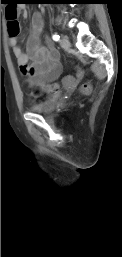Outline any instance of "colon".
Returning a JSON list of instances; mask_svg holds the SVG:
<instances>
[{"label": "colon", "mask_w": 122, "mask_h": 257, "mask_svg": "<svg viewBox=\"0 0 122 257\" xmlns=\"http://www.w3.org/2000/svg\"><path fill=\"white\" fill-rule=\"evenodd\" d=\"M4 10L6 11V16L8 20V32L10 36H17L20 31L19 22L17 20V11L18 5H4ZM77 79H84V71L76 70ZM44 89H48V92L55 91L57 89V85H44ZM83 93H89L91 90L90 84H84L82 86ZM30 94H37L38 98L42 97L43 90L40 86H36L35 89L29 90Z\"/></svg>", "instance_id": "1"}]
</instances>
